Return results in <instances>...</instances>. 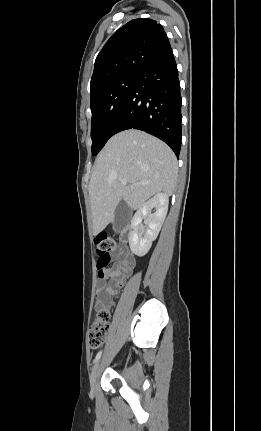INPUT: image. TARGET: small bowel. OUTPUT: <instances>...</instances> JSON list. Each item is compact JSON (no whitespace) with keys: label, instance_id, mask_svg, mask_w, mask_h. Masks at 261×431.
I'll list each match as a JSON object with an SVG mask.
<instances>
[{"label":"small bowel","instance_id":"c3829d8e","mask_svg":"<svg viewBox=\"0 0 261 431\" xmlns=\"http://www.w3.org/2000/svg\"><path fill=\"white\" fill-rule=\"evenodd\" d=\"M114 255L119 258L121 269L119 267L105 268L102 275L98 274L95 303L98 312L107 309L112 297L116 294V285L121 281L122 274L135 264L133 256L124 247L117 248Z\"/></svg>","mask_w":261,"mask_h":431}]
</instances>
